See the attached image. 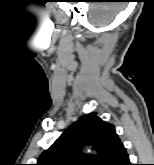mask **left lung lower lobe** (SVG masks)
<instances>
[{
    "mask_svg": "<svg viewBox=\"0 0 154 165\" xmlns=\"http://www.w3.org/2000/svg\"><path fill=\"white\" fill-rule=\"evenodd\" d=\"M113 165H131L124 146L120 149L116 161Z\"/></svg>",
    "mask_w": 154,
    "mask_h": 165,
    "instance_id": "1",
    "label": "left lung lower lobe"
}]
</instances>
